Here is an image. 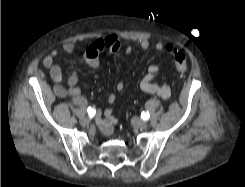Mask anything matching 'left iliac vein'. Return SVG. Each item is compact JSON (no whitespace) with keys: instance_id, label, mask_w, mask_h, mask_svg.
Returning <instances> with one entry per match:
<instances>
[{"instance_id":"obj_1","label":"left iliac vein","mask_w":245,"mask_h":187,"mask_svg":"<svg viewBox=\"0 0 245 187\" xmlns=\"http://www.w3.org/2000/svg\"><path fill=\"white\" fill-rule=\"evenodd\" d=\"M133 123L137 128L140 129H146L148 126V123L144 120H140L138 118H133Z\"/></svg>"}]
</instances>
